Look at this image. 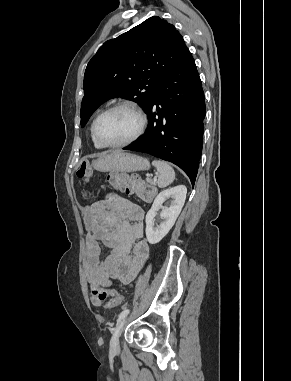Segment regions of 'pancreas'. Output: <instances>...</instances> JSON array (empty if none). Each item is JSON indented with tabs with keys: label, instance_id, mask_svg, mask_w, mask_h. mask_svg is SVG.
I'll return each instance as SVG.
<instances>
[{
	"label": "pancreas",
	"instance_id": "1",
	"mask_svg": "<svg viewBox=\"0 0 291 381\" xmlns=\"http://www.w3.org/2000/svg\"><path fill=\"white\" fill-rule=\"evenodd\" d=\"M146 181H147L150 185H152L153 187L156 185V181L150 179L149 177L146 178Z\"/></svg>",
	"mask_w": 291,
	"mask_h": 381
}]
</instances>
